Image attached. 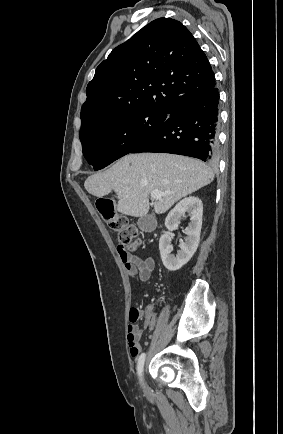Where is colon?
I'll use <instances>...</instances> for the list:
<instances>
[{
	"label": "colon",
	"mask_w": 283,
	"mask_h": 434,
	"mask_svg": "<svg viewBox=\"0 0 283 434\" xmlns=\"http://www.w3.org/2000/svg\"><path fill=\"white\" fill-rule=\"evenodd\" d=\"M96 209L102 219L118 233L120 246L127 252L135 250L142 241L137 237V232L128 219L116 213L114 203L110 199L101 198L96 201ZM141 314L136 308L130 311V321L135 323Z\"/></svg>",
	"instance_id": "5ec220e1"
}]
</instances>
